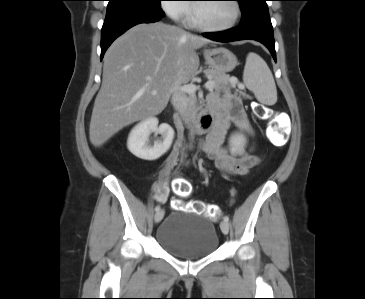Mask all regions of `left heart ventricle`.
<instances>
[{"mask_svg":"<svg viewBox=\"0 0 365 299\" xmlns=\"http://www.w3.org/2000/svg\"><path fill=\"white\" fill-rule=\"evenodd\" d=\"M197 14L201 22L209 26H225L231 23L235 16L233 2L198 3Z\"/></svg>","mask_w":365,"mask_h":299,"instance_id":"left-heart-ventricle-1","label":"left heart ventricle"}]
</instances>
